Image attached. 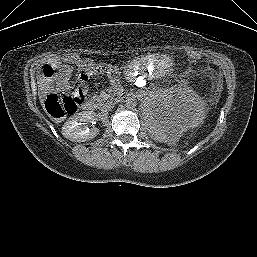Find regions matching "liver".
I'll use <instances>...</instances> for the list:
<instances>
[{"mask_svg":"<svg viewBox=\"0 0 257 257\" xmlns=\"http://www.w3.org/2000/svg\"><path fill=\"white\" fill-rule=\"evenodd\" d=\"M49 82H50V79H45V78H39L38 80V84H39V87H40V91L42 94H45L46 93V90L48 89L49 87ZM43 96V95H42Z\"/></svg>","mask_w":257,"mask_h":257,"instance_id":"liver-1","label":"liver"}]
</instances>
